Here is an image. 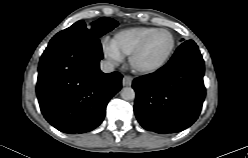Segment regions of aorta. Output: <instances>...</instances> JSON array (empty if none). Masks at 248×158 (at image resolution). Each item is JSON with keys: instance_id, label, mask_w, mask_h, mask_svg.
Here are the masks:
<instances>
[{"instance_id": "762f6f07", "label": "aorta", "mask_w": 248, "mask_h": 158, "mask_svg": "<svg viewBox=\"0 0 248 158\" xmlns=\"http://www.w3.org/2000/svg\"><path fill=\"white\" fill-rule=\"evenodd\" d=\"M120 95L124 100H133L135 98V91L131 87H124L122 88Z\"/></svg>"}]
</instances>
